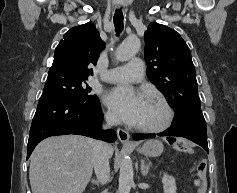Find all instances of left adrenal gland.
Here are the masks:
<instances>
[{
  "mask_svg": "<svg viewBox=\"0 0 237 193\" xmlns=\"http://www.w3.org/2000/svg\"><path fill=\"white\" fill-rule=\"evenodd\" d=\"M141 162V173L143 176H146L150 170V164H146L143 159L140 160Z\"/></svg>",
  "mask_w": 237,
  "mask_h": 193,
  "instance_id": "1",
  "label": "left adrenal gland"
}]
</instances>
